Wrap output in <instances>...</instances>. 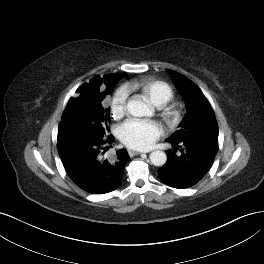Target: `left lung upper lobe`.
<instances>
[{
  "label": "left lung upper lobe",
  "instance_id": "obj_1",
  "mask_svg": "<svg viewBox=\"0 0 264 264\" xmlns=\"http://www.w3.org/2000/svg\"><path fill=\"white\" fill-rule=\"evenodd\" d=\"M177 89L183 95L187 111L179 124V130L167 140L181 142L192 138H207L218 141V126L214 112L201 90L187 77L167 70Z\"/></svg>",
  "mask_w": 264,
  "mask_h": 264
}]
</instances>
